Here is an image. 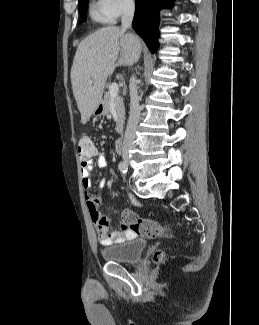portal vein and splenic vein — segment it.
I'll return each mask as SVG.
<instances>
[{
  "label": "portal vein and splenic vein",
  "mask_w": 259,
  "mask_h": 325,
  "mask_svg": "<svg viewBox=\"0 0 259 325\" xmlns=\"http://www.w3.org/2000/svg\"><path fill=\"white\" fill-rule=\"evenodd\" d=\"M119 85L117 83H112L109 87V92L112 97H115L118 94Z\"/></svg>",
  "instance_id": "obj_1"
}]
</instances>
